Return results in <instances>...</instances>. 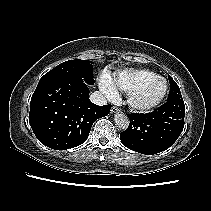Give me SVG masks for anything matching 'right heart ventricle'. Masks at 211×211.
<instances>
[{
  "instance_id": "obj_1",
  "label": "right heart ventricle",
  "mask_w": 211,
  "mask_h": 211,
  "mask_svg": "<svg viewBox=\"0 0 211 211\" xmlns=\"http://www.w3.org/2000/svg\"><path fill=\"white\" fill-rule=\"evenodd\" d=\"M156 76L155 72L148 69H125L115 72L111 79L116 88L128 94L144 81Z\"/></svg>"
}]
</instances>
